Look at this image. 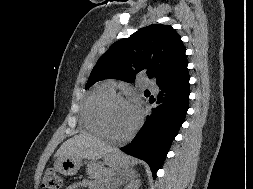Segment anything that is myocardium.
Listing matches in <instances>:
<instances>
[{
  "label": "myocardium",
  "instance_id": "obj_1",
  "mask_svg": "<svg viewBox=\"0 0 253 189\" xmlns=\"http://www.w3.org/2000/svg\"><path fill=\"white\" fill-rule=\"evenodd\" d=\"M114 103L129 104V101L124 96H122L120 94H116V93L103 99L97 109L98 122H99L100 127L103 131V134L107 138H110L113 140H118V141H127V140L131 139L134 136V134L138 131V129L140 128L141 123H142V115L140 113L137 114L138 115L137 121L129 132H127L124 135L114 134L109 129V126L107 123V111H108L109 107Z\"/></svg>",
  "mask_w": 253,
  "mask_h": 189
}]
</instances>
